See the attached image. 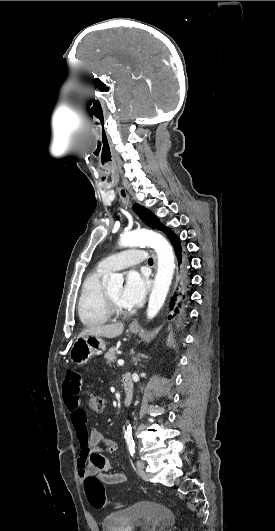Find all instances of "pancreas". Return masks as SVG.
<instances>
[{
    "instance_id": "pancreas-1",
    "label": "pancreas",
    "mask_w": 275,
    "mask_h": 531,
    "mask_svg": "<svg viewBox=\"0 0 275 531\" xmlns=\"http://www.w3.org/2000/svg\"><path fill=\"white\" fill-rule=\"evenodd\" d=\"M117 347H111L107 353L104 355V359H106L107 365H111V363H114L117 359Z\"/></svg>"
}]
</instances>
